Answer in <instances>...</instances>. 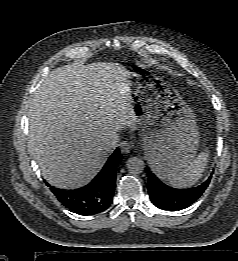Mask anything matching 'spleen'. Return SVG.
I'll return each instance as SVG.
<instances>
[{
    "label": "spleen",
    "mask_w": 238,
    "mask_h": 261,
    "mask_svg": "<svg viewBox=\"0 0 238 261\" xmlns=\"http://www.w3.org/2000/svg\"><path fill=\"white\" fill-rule=\"evenodd\" d=\"M208 157L207 150L199 153L183 171L169 178L167 183L175 188L192 187L203 176Z\"/></svg>",
    "instance_id": "3e777b00"
}]
</instances>
